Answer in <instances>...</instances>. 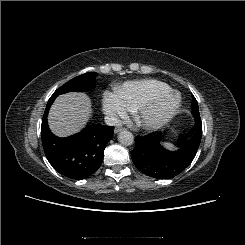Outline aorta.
<instances>
[{
	"instance_id": "obj_1",
	"label": "aorta",
	"mask_w": 245,
	"mask_h": 245,
	"mask_svg": "<svg viewBox=\"0 0 245 245\" xmlns=\"http://www.w3.org/2000/svg\"><path fill=\"white\" fill-rule=\"evenodd\" d=\"M118 141L125 146H130L134 142L133 134L128 130H122L118 135Z\"/></svg>"
}]
</instances>
